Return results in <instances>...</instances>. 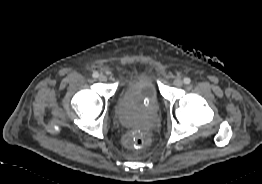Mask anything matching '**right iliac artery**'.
I'll return each instance as SVG.
<instances>
[{
	"instance_id": "1",
	"label": "right iliac artery",
	"mask_w": 262,
	"mask_h": 184,
	"mask_svg": "<svg viewBox=\"0 0 262 184\" xmlns=\"http://www.w3.org/2000/svg\"><path fill=\"white\" fill-rule=\"evenodd\" d=\"M92 76H93V78H98V77H99V74H98V72H94V73L92 74Z\"/></svg>"
}]
</instances>
